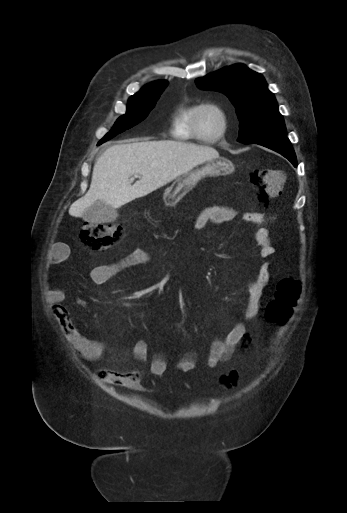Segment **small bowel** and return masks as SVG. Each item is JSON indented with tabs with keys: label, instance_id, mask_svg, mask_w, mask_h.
<instances>
[{
	"label": "small bowel",
	"instance_id": "1",
	"mask_svg": "<svg viewBox=\"0 0 347 513\" xmlns=\"http://www.w3.org/2000/svg\"><path fill=\"white\" fill-rule=\"evenodd\" d=\"M238 216V212L230 206H214L203 209L195 222L197 230L206 229L210 225H219L232 222ZM244 222L254 226L255 240L260 247V256L265 261L257 271L254 278L250 279L248 289L251 299L244 311V319H254L260 309L261 292L264 284L269 279L268 259L274 256L276 250L271 243L269 231L265 226L264 217L259 212H248L243 214ZM68 253V247L64 243L52 245L46 258V265L53 266L63 262ZM150 260L149 253L143 248H137L114 262L100 265L90 272V279L95 284H104L124 270L144 264ZM46 297L52 306V311L59 320L60 329L71 343L75 351L85 360L97 361L105 353V344L82 335L73 325L68 308L63 305L65 299L64 290L59 282L50 283L46 289ZM249 338L246 326L242 322H235L223 336L215 337L209 347L206 365L209 368L217 367L219 364L229 361L237 347ZM148 344L145 340H136L130 353L140 362L147 359ZM196 367L195 354L187 352L175 363V368L181 372H190ZM168 364L163 353L157 352L153 355L149 369L153 374L162 375L167 371ZM142 371L133 370L130 372H117L104 370L99 376L106 383L120 385L128 388H136L141 379Z\"/></svg>",
	"mask_w": 347,
	"mask_h": 513
}]
</instances>
